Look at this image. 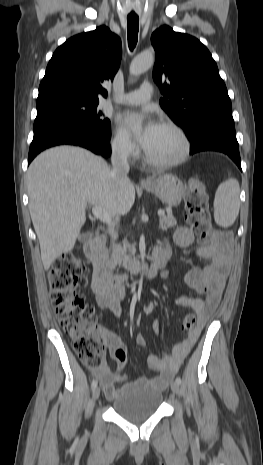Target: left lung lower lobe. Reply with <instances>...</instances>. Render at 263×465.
Wrapping results in <instances>:
<instances>
[{"label": "left lung lower lobe", "mask_w": 263, "mask_h": 465, "mask_svg": "<svg viewBox=\"0 0 263 465\" xmlns=\"http://www.w3.org/2000/svg\"><path fill=\"white\" fill-rule=\"evenodd\" d=\"M190 154L200 151H220L227 154L241 169L239 146L234 122L213 120L190 140Z\"/></svg>", "instance_id": "0a47b994"}]
</instances>
